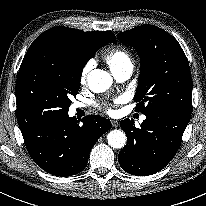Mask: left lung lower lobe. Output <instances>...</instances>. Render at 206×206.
Instances as JSON below:
<instances>
[{"label":"left lung lower lobe","instance_id":"left-lung-lower-lobe-1","mask_svg":"<svg viewBox=\"0 0 206 206\" xmlns=\"http://www.w3.org/2000/svg\"><path fill=\"white\" fill-rule=\"evenodd\" d=\"M140 128L133 119L120 125L127 135V144L119 152L118 160L131 175L146 176L163 169L178 151L190 115L164 110L145 113Z\"/></svg>","mask_w":206,"mask_h":206}]
</instances>
